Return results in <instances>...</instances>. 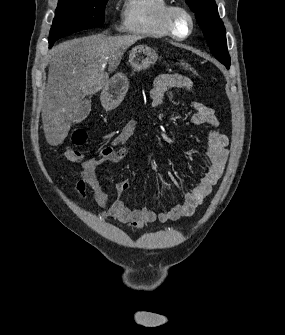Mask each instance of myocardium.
<instances>
[{
  "instance_id": "myocardium-1",
  "label": "myocardium",
  "mask_w": 285,
  "mask_h": 335,
  "mask_svg": "<svg viewBox=\"0 0 285 335\" xmlns=\"http://www.w3.org/2000/svg\"><path fill=\"white\" fill-rule=\"evenodd\" d=\"M186 17L185 13L182 11V9H176L172 15H171V18H170V28H171V31L174 30V26L172 25V21L171 20H174L175 22H181L184 18Z\"/></svg>"
}]
</instances>
